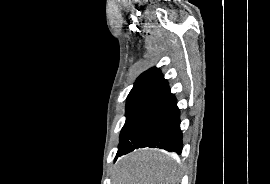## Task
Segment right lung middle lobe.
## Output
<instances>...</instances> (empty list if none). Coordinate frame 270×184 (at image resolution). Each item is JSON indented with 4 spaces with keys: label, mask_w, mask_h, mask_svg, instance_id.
Instances as JSON below:
<instances>
[{
    "label": "right lung middle lobe",
    "mask_w": 270,
    "mask_h": 184,
    "mask_svg": "<svg viewBox=\"0 0 270 184\" xmlns=\"http://www.w3.org/2000/svg\"><path fill=\"white\" fill-rule=\"evenodd\" d=\"M148 99L149 98H147V97H136V98L127 99L126 122H125V124L122 128V131H121L120 143H119L116 158L119 155V152L121 150L123 142L125 141L133 122L135 121V119L139 115L140 111L142 110V108L144 107V105L146 104Z\"/></svg>",
    "instance_id": "right-lung-middle-lobe-1"
}]
</instances>
